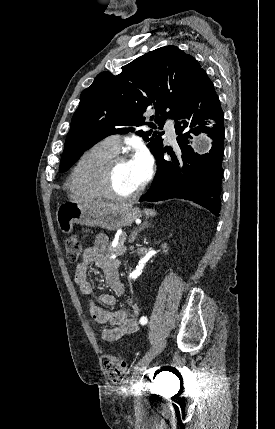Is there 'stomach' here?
Returning a JSON list of instances; mask_svg holds the SVG:
<instances>
[{"mask_svg": "<svg viewBox=\"0 0 275 429\" xmlns=\"http://www.w3.org/2000/svg\"><path fill=\"white\" fill-rule=\"evenodd\" d=\"M140 217L141 212L132 205L115 204L111 207L92 210L72 201L59 205L56 212L58 227L65 234L72 232L75 223L114 231L131 225Z\"/></svg>", "mask_w": 275, "mask_h": 429, "instance_id": "0dacf381", "label": "stomach"}]
</instances>
